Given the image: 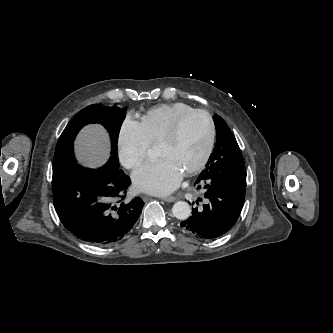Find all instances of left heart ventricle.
Returning a JSON list of instances; mask_svg holds the SVG:
<instances>
[{"label": "left heart ventricle", "mask_w": 333, "mask_h": 333, "mask_svg": "<svg viewBox=\"0 0 333 333\" xmlns=\"http://www.w3.org/2000/svg\"><path fill=\"white\" fill-rule=\"evenodd\" d=\"M208 137L207 119L203 115H193L183 123L176 140L159 144L158 155L171 159L185 172L203 156Z\"/></svg>", "instance_id": "1"}]
</instances>
